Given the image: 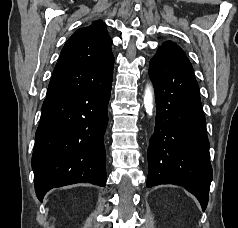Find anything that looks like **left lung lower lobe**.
Instances as JSON below:
<instances>
[{
  "instance_id": "1",
  "label": "left lung lower lobe",
  "mask_w": 238,
  "mask_h": 228,
  "mask_svg": "<svg viewBox=\"0 0 238 228\" xmlns=\"http://www.w3.org/2000/svg\"><path fill=\"white\" fill-rule=\"evenodd\" d=\"M156 96L155 131L148 148L146 186H183L206 209L212 180L206 120L188 58L158 49L149 62Z\"/></svg>"
}]
</instances>
